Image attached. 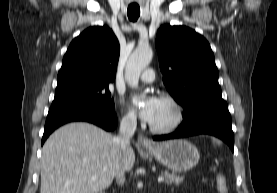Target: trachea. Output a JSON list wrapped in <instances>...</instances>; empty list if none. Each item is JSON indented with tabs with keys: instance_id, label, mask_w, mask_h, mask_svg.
Returning a JSON list of instances; mask_svg holds the SVG:
<instances>
[{
	"instance_id": "obj_1",
	"label": "trachea",
	"mask_w": 277,
	"mask_h": 193,
	"mask_svg": "<svg viewBox=\"0 0 277 193\" xmlns=\"http://www.w3.org/2000/svg\"><path fill=\"white\" fill-rule=\"evenodd\" d=\"M127 15H128V18L135 22L138 17L140 16V8L139 6L137 5H130L128 6V9H127Z\"/></svg>"
}]
</instances>
